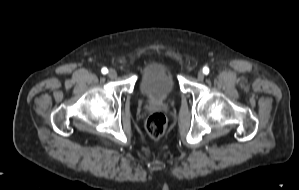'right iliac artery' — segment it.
<instances>
[{
	"label": "right iliac artery",
	"mask_w": 299,
	"mask_h": 190,
	"mask_svg": "<svg viewBox=\"0 0 299 190\" xmlns=\"http://www.w3.org/2000/svg\"><path fill=\"white\" fill-rule=\"evenodd\" d=\"M101 72H102L103 74H107V73H108V69H107L106 67H104V68H102Z\"/></svg>",
	"instance_id": "82829eb1"
}]
</instances>
